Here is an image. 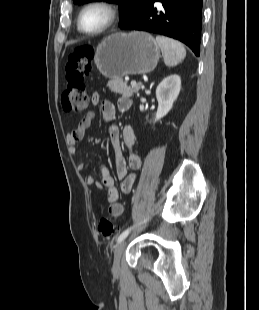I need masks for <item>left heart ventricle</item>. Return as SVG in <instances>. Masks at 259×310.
I'll use <instances>...</instances> for the list:
<instances>
[{
    "mask_svg": "<svg viewBox=\"0 0 259 310\" xmlns=\"http://www.w3.org/2000/svg\"><path fill=\"white\" fill-rule=\"evenodd\" d=\"M107 20V13L101 8L88 9L82 17L83 27L87 30L100 28Z\"/></svg>",
    "mask_w": 259,
    "mask_h": 310,
    "instance_id": "obj_1",
    "label": "left heart ventricle"
}]
</instances>
